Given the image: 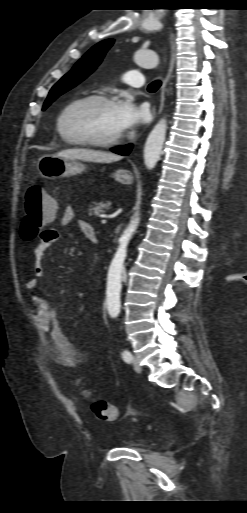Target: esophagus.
<instances>
[{"label": "esophagus", "mask_w": 247, "mask_h": 513, "mask_svg": "<svg viewBox=\"0 0 247 513\" xmlns=\"http://www.w3.org/2000/svg\"><path fill=\"white\" fill-rule=\"evenodd\" d=\"M169 40H170V63H169L168 71H167L165 78L163 80V83L160 87V103H159V108H158V114H160L163 110L164 103H165L166 85L171 78V75H172L174 67H175L176 58H177V45H176V41H175V35L171 31H170ZM152 112L154 115L156 114V106L155 105L153 106Z\"/></svg>", "instance_id": "34e87169"}]
</instances>
